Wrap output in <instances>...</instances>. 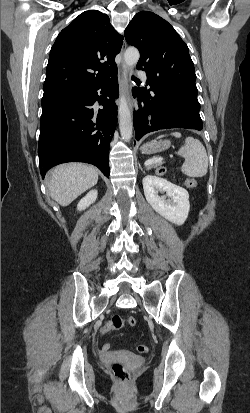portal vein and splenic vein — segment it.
Returning a JSON list of instances; mask_svg holds the SVG:
<instances>
[{"label":"portal vein and splenic vein","mask_w":250,"mask_h":413,"mask_svg":"<svg viewBox=\"0 0 250 413\" xmlns=\"http://www.w3.org/2000/svg\"><path fill=\"white\" fill-rule=\"evenodd\" d=\"M162 161H163L162 158H155V159H153L151 162L157 163V162H162Z\"/></svg>","instance_id":"portal-vein-and-splenic-vein-1"}]
</instances>
